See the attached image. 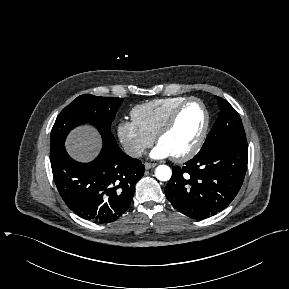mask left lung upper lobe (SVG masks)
<instances>
[{
    "label": "left lung upper lobe",
    "mask_w": 289,
    "mask_h": 289,
    "mask_svg": "<svg viewBox=\"0 0 289 289\" xmlns=\"http://www.w3.org/2000/svg\"><path fill=\"white\" fill-rule=\"evenodd\" d=\"M216 98L220 113L199 154L204 153L221 141L237 140L247 142L242 121L237 111L223 98Z\"/></svg>",
    "instance_id": "obj_1"
}]
</instances>
